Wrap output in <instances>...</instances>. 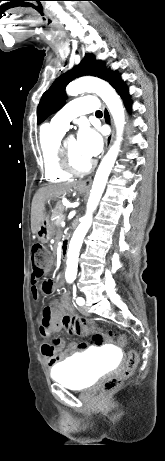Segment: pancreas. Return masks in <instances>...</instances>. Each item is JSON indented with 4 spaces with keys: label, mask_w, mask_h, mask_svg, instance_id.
<instances>
[{
    "label": "pancreas",
    "mask_w": 165,
    "mask_h": 461,
    "mask_svg": "<svg viewBox=\"0 0 165 461\" xmlns=\"http://www.w3.org/2000/svg\"><path fill=\"white\" fill-rule=\"evenodd\" d=\"M64 210L65 208L61 203H58L56 207L52 210V216H51L52 224H53V227L54 226L57 227V233L61 232L60 226H61V222L64 220V216H63Z\"/></svg>",
    "instance_id": "pancreas-1"
}]
</instances>
